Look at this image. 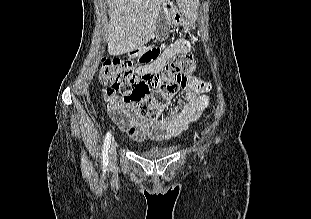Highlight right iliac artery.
<instances>
[{"mask_svg":"<svg viewBox=\"0 0 311 219\" xmlns=\"http://www.w3.org/2000/svg\"><path fill=\"white\" fill-rule=\"evenodd\" d=\"M110 143H111V133L107 132L105 139H104V146H103V166H107L108 165V151L110 148Z\"/></svg>","mask_w":311,"mask_h":219,"instance_id":"right-iliac-artery-1","label":"right iliac artery"}]
</instances>
